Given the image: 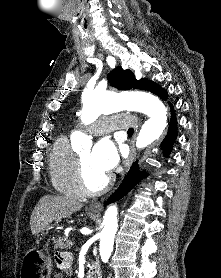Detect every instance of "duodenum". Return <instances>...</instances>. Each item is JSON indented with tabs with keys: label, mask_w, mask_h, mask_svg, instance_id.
I'll return each mask as SVG.
<instances>
[{
	"label": "duodenum",
	"mask_w": 221,
	"mask_h": 278,
	"mask_svg": "<svg viewBox=\"0 0 221 278\" xmlns=\"http://www.w3.org/2000/svg\"><path fill=\"white\" fill-rule=\"evenodd\" d=\"M86 278H101V274L96 268H91Z\"/></svg>",
	"instance_id": "410a0bca"
}]
</instances>
